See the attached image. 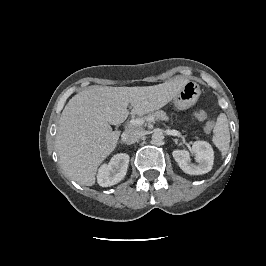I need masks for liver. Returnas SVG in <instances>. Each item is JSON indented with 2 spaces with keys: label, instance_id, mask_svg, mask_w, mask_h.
Returning <instances> with one entry per match:
<instances>
[{
  "label": "liver",
  "instance_id": "6515ba94",
  "mask_svg": "<svg viewBox=\"0 0 266 266\" xmlns=\"http://www.w3.org/2000/svg\"><path fill=\"white\" fill-rule=\"evenodd\" d=\"M186 79L145 87L93 85L72 97L65 106L56 134V149L65 174L85 186L96 181L100 164L116 148L120 132L112 131L131 114L143 115L166 105Z\"/></svg>",
  "mask_w": 266,
  "mask_h": 266
}]
</instances>
